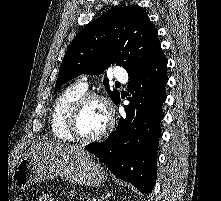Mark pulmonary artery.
I'll return each instance as SVG.
<instances>
[{
    "label": "pulmonary artery",
    "mask_w": 221,
    "mask_h": 201,
    "mask_svg": "<svg viewBox=\"0 0 221 201\" xmlns=\"http://www.w3.org/2000/svg\"><path fill=\"white\" fill-rule=\"evenodd\" d=\"M115 79L121 82H126L128 79V74L123 68H117L114 72ZM86 77H82L79 81V85L84 88H87Z\"/></svg>",
    "instance_id": "pulmonary-artery-1"
}]
</instances>
